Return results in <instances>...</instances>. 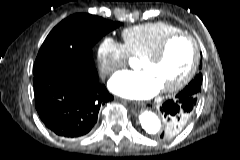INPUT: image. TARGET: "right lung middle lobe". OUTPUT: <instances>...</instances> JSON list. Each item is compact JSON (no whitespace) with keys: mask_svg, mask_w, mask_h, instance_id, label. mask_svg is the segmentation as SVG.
I'll list each match as a JSON object with an SVG mask.
<instances>
[{"mask_svg":"<svg viewBox=\"0 0 240 160\" xmlns=\"http://www.w3.org/2000/svg\"><path fill=\"white\" fill-rule=\"evenodd\" d=\"M120 26L90 14L72 15L48 34L34 63L36 74L51 64H65L81 72L95 69L92 58L93 45L109 31Z\"/></svg>","mask_w":240,"mask_h":160,"instance_id":"1","label":"right lung middle lobe"}]
</instances>
